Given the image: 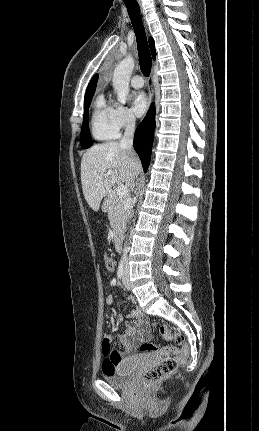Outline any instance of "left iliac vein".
Listing matches in <instances>:
<instances>
[{
	"mask_svg": "<svg viewBox=\"0 0 259 431\" xmlns=\"http://www.w3.org/2000/svg\"><path fill=\"white\" fill-rule=\"evenodd\" d=\"M123 284L127 289H130V283H129V268L128 266L125 267L124 270V276H123Z\"/></svg>",
	"mask_w": 259,
	"mask_h": 431,
	"instance_id": "1",
	"label": "left iliac vein"
}]
</instances>
